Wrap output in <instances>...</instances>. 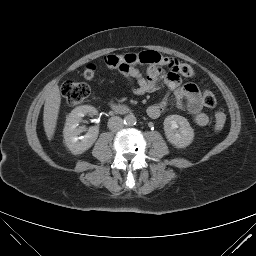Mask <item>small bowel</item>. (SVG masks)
Instances as JSON below:
<instances>
[{"mask_svg":"<svg viewBox=\"0 0 256 256\" xmlns=\"http://www.w3.org/2000/svg\"><path fill=\"white\" fill-rule=\"evenodd\" d=\"M175 61L178 60L163 58L159 63L149 64L146 74L140 71L138 64L126 65L117 69V71L129 81L131 90L136 95L152 93L159 88L160 83H163L175 96L177 106L181 107L183 102L186 101L187 109L194 123L198 126H206L209 123V117L202 111L201 93L195 84L182 83L181 75L173 65ZM167 105V98L150 105L147 108L148 116L152 119L159 118Z\"/></svg>","mask_w":256,"mask_h":256,"instance_id":"small-bowel-1","label":"small bowel"}]
</instances>
